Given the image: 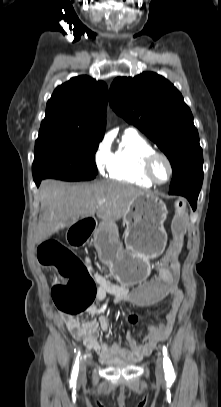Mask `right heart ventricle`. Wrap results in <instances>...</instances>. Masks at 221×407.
<instances>
[{"instance_id": "e07e8e85", "label": "right heart ventricle", "mask_w": 221, "mask_h": 407, "mask_svg": "<svg viewBox=\"0 0 221 407\" xmlns=\"http://www.w3.org/2000/svg\"><path fill=\"white\" fill-rule=\"evenodd\" d=\"M153 146L134 130H126L116 150L111 155L109 177L140 187L153 183L145 176V158L154 152Z\"/></svg>"}]
</instances>
